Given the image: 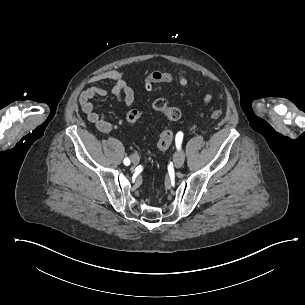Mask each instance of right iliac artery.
Returning a JSON list of instances; mask_svg holds the SVG:
<instances>
[{
	"mask_svg": "<svg viewBox=\"0 0 305 305\" xmlns=\"http://www.w3.org/2000/svg\"><path fill=\"white\" fill-rule=\"evenodd\" d=\"M124 164L125 165H129L130 164V159L129 158H125L124 159Z\"/></svg>",
	"mask_w": 305,
	"mask_h": 305,
	"instance_id": "right-iliac-artery-1",
	"label": "right iliac artery"
}]
</instances>
